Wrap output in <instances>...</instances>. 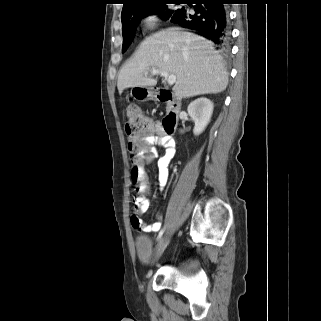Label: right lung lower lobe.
<instances>
[{"mask_svg":"<svg viewBox=\"0 0 321 321\" xmlns=\"http://www.w3.org/2000/svg\"><path fill=\"white\" fill-rule=\"evenodd\" d=\"M194 13L187 7H182L173 13L169 19L171 23L184 28L196 30L198 34L213 41L220 47L228 43V18L224 4L228 0H188L187 5L192 6Z\"/></svg>","mask_w":321,"mask_h":321,"instance_id":"98d812e1","label":"right lung lower lobe"}]
</instances>
